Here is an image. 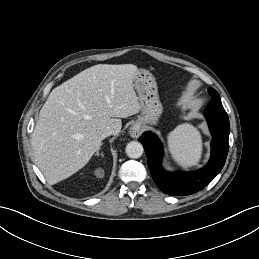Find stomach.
I'll return each mask as SVG.
<instances>
[{
    "label": "stomach",
    "instance_id": "0dacf381",
    "mask_svg": "<svg viewBox=\"0 0 259 259\" xmlns=\"http://www.w3.org/2000/svg\"><path fill=\"white\" fill-rule=\"evenodd\" d=\"M133 81L141 111V116L138 117L135 124L142 127L157 125L163 107L159 100L155 78L148 71L138 70Z\"/></svg>",
    "mask_w": 259,
    "mask_h": 259
}]
</instances>
